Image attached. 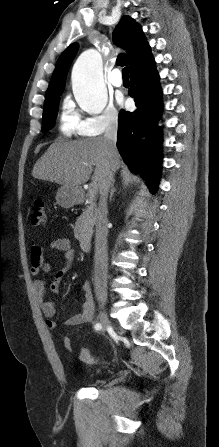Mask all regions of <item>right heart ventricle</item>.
Masks as SVG:
<instances>
[{
  "label": "right heart ventricle",
  "instance_id": "1",
  "mask_svg": "<svg viewBox=\"0 0 219 447\" xmlns=\"http://www.w3.org/2000/svg\"><path fill=\"white\" fill-rule=\"evenodd\" d=\"M60 131L66 138L88 135L84 129V120L73 107L70 100H65L60 115Z\"/></svg>",
  "mask_w": 219,
  "mask_h": 447
}]
</instances>
